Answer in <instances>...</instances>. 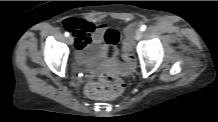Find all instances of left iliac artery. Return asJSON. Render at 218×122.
Here are the masks:
<instances>
[{
	"mask_svg": "<svg viewBox=\"0 0 218 122\" xmlns=\"http://www.w3.org/2000/svg\"><path fill=\"white\" fill-rule=\"evenodd\" d=\"M146 27H147L146 25H142L140 30H141L142 32H144V31L146 30Z\"/></svg>",
	"mask_w": 218,
	"mask_h": 122,
	"instance_id": "obj_1",
	"label": "left iliac artery"
}]
</instances>
